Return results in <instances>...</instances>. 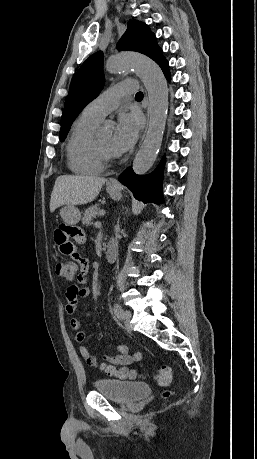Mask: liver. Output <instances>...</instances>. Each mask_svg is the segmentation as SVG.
Here are the masks:
<instances>
[{
  "label": "liver",
  "mask_w": 257,
  "mask_h": 459,
  "mask_svg": "<svg viewBox=\"0 0 257 459\" xmlns=\"http://www.w3.org/2000/svg\"><path fill=\"white\" fill-rule=\"evenodd\" d=\"M106 179L97 176L63 175L54 184L50 199V212L62 205H83L92 202Z\"/></svg>",
  "instance_id": "1"
}]
</instances>
